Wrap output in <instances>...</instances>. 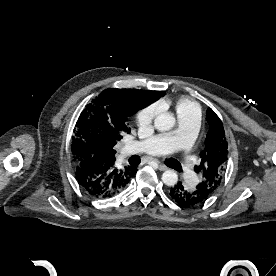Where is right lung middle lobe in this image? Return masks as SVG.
<instances>
[{
	"label": "right lung middle lobe",
	"mask_w": 276,
	"mask_h": 276,
	"mask_svg": "<svg viewBox=\"0 0 276 276\" xmlns=\"http://www.w3.org/2000/svg\"><path fill=\"white\" fill-rule=\"evenodd\" d=\"M127 115L110 98L99 95L81 112L72 140L71 151L75 159L87 157L98 151L119 127L127 121Z\"/></svg>",
	"instance_id": "1"
}]
</instances>
